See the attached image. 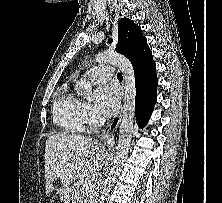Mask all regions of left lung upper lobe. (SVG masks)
Instances as JSON below:
<instances>
[{
    "instance_id": "left-lung-upper-lobe-1",
    "label": "left lung upper lobe",
    "mask_w": 222,
    "mask_h": 203,
    "mask_svg": "<svg viewBox=\"0 0 222 203\" xmlns=\"http://www.w3.org/2000/svg\"><path fill=\"white\" fill-rule=\"evenodd\" d=\"M112 40L109 39L108 42ZM146 42L141 28L128 18H123L118 23V44L116 52L123 54L130 61L133 60L139 49Z\"/></svg>"
}]
</instances>
